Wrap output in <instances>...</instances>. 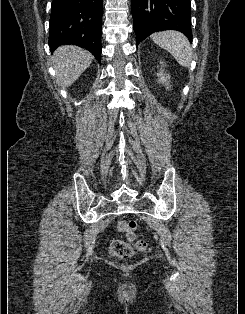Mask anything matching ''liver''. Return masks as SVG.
Returning <instances> with one entry per match:
<instances>
[{
  "mask_svg": "<svg viewBox=\"0 0 245 314\" xmlns=\"http://www.w3.org/2000/svg\"><path fill=\"white\" fill-rule=\"evenodd\" d=\"M53 66L56 71V83L65 88L72 85L89 67L93 55L74 45H64L53 53Z\"/></svg>",
  "mask_w": 245,
  "mask_h": 314,
  "instance_id": "1",
  "label": "liver"
}]
</instances>
